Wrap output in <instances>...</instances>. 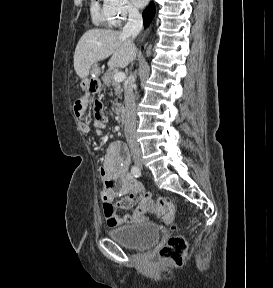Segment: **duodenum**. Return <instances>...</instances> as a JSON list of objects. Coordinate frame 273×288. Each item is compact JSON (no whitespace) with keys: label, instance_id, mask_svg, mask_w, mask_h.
I'll return each instance as SVG.
<instances>
[{"label":"duodenum","instance_id":"duodenum-1","mask_svg":"<svg viewBox=\"0 0 273 288\" xmlns=\"http://www.w3.org/2000/svg\"><path fill=\"white\" fill-rule=\"evenodd\" d=\"M116 114L120 122H124L126 120V111L124 107L122 106L117 107Z\"/></svg>","mask_w":273,"mask_h":288}]
</instances>
